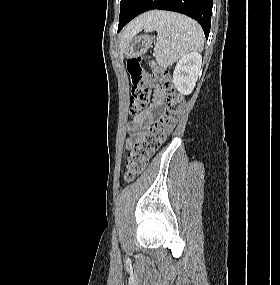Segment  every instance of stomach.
<instances>
[{
    "mask_svg": "<svg viewBox=\"0 0 280 285\" xmlns=\"http://www.w3.org/2000/svg\"><path fill=\"white\" fill-rule=\"evenodd\" d=\"M154 37L149 35L134 36L129 39L125 47L127 58L142 56L152 46Z\"/></svg>",
    "mask_w": 280,
    "mask_h": 285,
    "instance_id": "1",
    "label": "stomach"
}]
</instances>
